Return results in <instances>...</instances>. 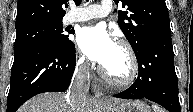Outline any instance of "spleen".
I'll return each instance as SVG.
<instances>
[{
    "label": "spleen",
    "mask_w": 193,
    "mask_h": 112,
    "mask_svg": "<svg viewBox=\"0 0 193 112\" xmlns=\"http://www.w3.org/2000/svg\"><path fill=\"white\" fill-rule=\"evenodd\" d=\"M154 112H161L159 109L155 108Z\"/></svg>",
    "instance_id": "3e777b00"
}]
</instances>
